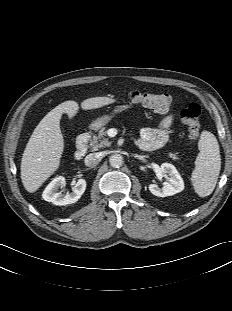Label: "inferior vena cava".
<instances>
[{"label":"inferior vena cava","mask_w":232,"mask_h":311,"mask_svg":"<svg viewBox=\"0 0 232 311\" xmlns=\"http://www.w3.org/2000/svg\"><path fill=\"white\" fill-rule=\"evenodd\" d=\"M100 160H101V157L98 153H91V154L86 156L85 164L88 167H94V166L98 165Z\"/></svg>","instance_id":"602c4592"}]
</instances>
